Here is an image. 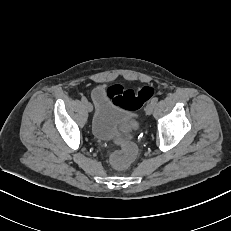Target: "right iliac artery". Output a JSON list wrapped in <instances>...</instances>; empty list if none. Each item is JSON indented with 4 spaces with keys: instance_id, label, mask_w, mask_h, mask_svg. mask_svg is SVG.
<instances>
[{
    "instance_id": "obj_1",
    "label": "right iliac artery",
    "mask_w": 231,
    "mask_h": 231,
    "mask_svg": "<svg viewBox=\"0 0 231 231\" xmlns=\"http://www.w3.org/2000/svg\"><path fill=\"white\" fill-rule=\"evenodd\" d=\"M81 101H82L83 103L87 102L86 97H82V98H81Z\"/></svg>"
}]
</instances>
